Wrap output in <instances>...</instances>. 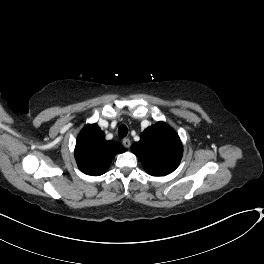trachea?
I'll return each mask as SVG.
<instances>
[{"label": "trachea", "mask_w": 264, "mask_h": 264, "mask_svg": "<svg viewBox=\"0 0 264 264\" xmlns=\"http://www.w3.org/2000/svg\"><path fill=\"white\" fill-rule=\"evenodd\" d=\"M118 133L120 137H125L128 134V128L125 125H121L118 128Z\"/></svg>", "instance_id": "obj_1"}]
</instances>
